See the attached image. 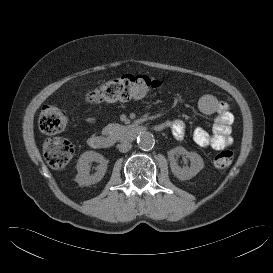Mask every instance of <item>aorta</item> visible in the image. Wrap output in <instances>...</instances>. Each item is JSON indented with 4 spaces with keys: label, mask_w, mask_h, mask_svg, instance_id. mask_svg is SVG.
I'll list each match as a JSON object with an SVG mask.
<instances>
[{
    "label": "aorta",
    "mask_w": 273,
    "mask_h": 273,
    "mask_svg": "<svg viewBox=\"0 0 273 273\" xmlns=\"http://www.w3.org/2000/svg\"><path fill=\"white\" fill-rule=\"evenodd\" d=\"M137 143L140 149L148 151L154 147L155 139L151 133L145 132L138 136Z\"/></svg>",
    "instance_id": "1"
}]
</instances>
